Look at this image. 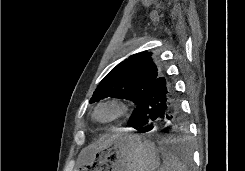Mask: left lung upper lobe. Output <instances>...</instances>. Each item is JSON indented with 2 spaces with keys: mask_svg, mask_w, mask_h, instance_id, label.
<instances>
[{
  "mask_svg": "<svg viewBox=\"0 0 245 171\" xmlns=\"http://www.w3.org/2000/svg\"><path fill=\"white\" fill-rule=\"evenodd\" d=\"M151 55V52L133 54L115 66L99 83L90 103L115 97L137 104L142 91L162 73Z\"/></svg>",
  "mask_w": 245,
  "mask_h": 171,
  "instance_id": "1",
  "label": "left lung upper lobe"
}]
</instances>
